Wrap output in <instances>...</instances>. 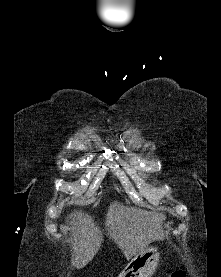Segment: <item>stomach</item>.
Returning a JSON list of instances; mask_svg holds the SVG:
<instances>
[{"instance_id":"stomach-1","label":"stomach","mask_w":221,"mask_h":277,"mask_svg":"<svg viewBox=\"0 0 221 277\" xmlns=\"http://www.w3.org/2000/svg\"><path fill=\"white\" fill-rule=\"evenodd\" d=\"M160 259L157 246H148L138 252L119 277H151Z\"/></svg>"}]
</instances>
